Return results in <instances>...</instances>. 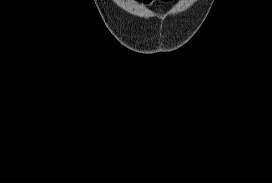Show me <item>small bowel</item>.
Listing matches in <instances>:
<instances>
[{"instance_id":"obj_1","label":"small bowel","mask_w":272,"mask_h":183,"mask_svg":"<svg viewBox=\"0 0 272 183\" xmlns=\"http://www.w3.org/2000/svg\"><path fill=\"white\" fill-rule=\"evenodd\" d=\"M144 4H151L153 0H140Z\"/></svg>"}]
</instances>
